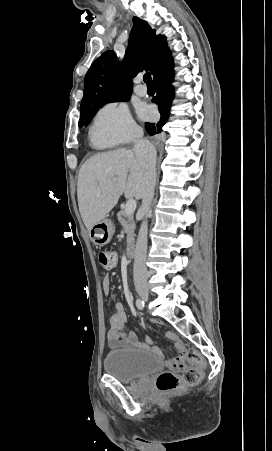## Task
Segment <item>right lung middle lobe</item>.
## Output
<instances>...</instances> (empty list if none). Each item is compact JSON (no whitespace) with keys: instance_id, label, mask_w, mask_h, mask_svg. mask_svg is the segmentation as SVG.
<instances>
[{"instance_id":"dd1d6c3e","label":"right lung middle lobe","mask_w":272,"mask_h":451,"mask_svg":"<svg viewBox=\"0 0 272 451\" xmlns=\"http://www.w3.org/2000/svg\"><path fill=\"white\" fill-rule=\"evenodd\" d=\"M128 100H129V98L115 100V101H128ZM115 101H112V102H115ZM99 107H101V106H99ZM99 107H95V108L87 109L85 111H81L80 120H79V127H82L83 125H87L89 120L91 119V117L94 115V113L97 111V109Z\"/></svg>"}]
</instances>
